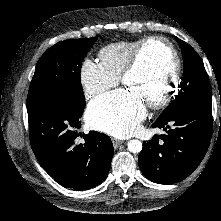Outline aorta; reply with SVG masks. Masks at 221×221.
<instances>
[{"mask_svg":"<svg viewBox=\"0 0 221 221\" xmlns=\"http://www.w3.org/2000/svg\"><path fill=\"white\" fill-rule=\"evenodd\" d=\"M142 142L137 139H132L127 143V148L132 153H139L142 150Z\"/></svg>","mask_w":221,"mask_h":221,"instance_id":"762f6f07","label":"aorta"}]
</instances>
